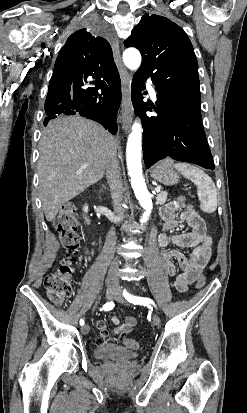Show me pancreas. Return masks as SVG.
Here are the masks:
<instances>
[{
	"label": "pancreas",
	"instance_id": "pancreas-1",
	"mask_svg": "<svg viewBox=\"0 0 247 413\" xmlns=\"http://www.w3.org/2000/svg\"><path fill=\"white\" fill-rule=\"evenodd\" d=\"M167 192L163 190V192H159L156 196V204H164L166 202Z\"/></svg>",
	"mask_w": 247,
	"mask_h": 413
}]
</instances>
